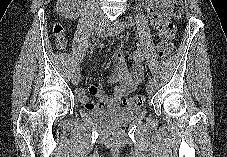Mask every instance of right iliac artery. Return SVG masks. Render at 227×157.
Returning a JSON list of instances; mask_svg holds the SVG:
<instances>
[{"instance_id":"obj_1","label":"right iliac artery","mask_w":227,"mask_h":157,"mask_svg":"<svg viewBox=\"0 0 227 157\" xmlns=\"http://www.w3.org/2000/svg\"><path fill=\"white\" fill-rule=\"evenodd\" d=\"M93 39L95 40L96 44H101V39H98V36H93ZM73 70H79V64L78 63H75L73 65Z\"/></svg>"}]
</instances>
